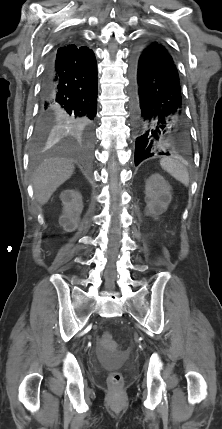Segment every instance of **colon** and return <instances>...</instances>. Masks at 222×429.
<instances>
[{
    "mask_svg": "<svg viewBox=\"0 0 222 429\" xmlns=\"http://www.w3.org/2000/svg\"><path fill=\"white\" fill-rule=\"evenodd\" d=\"M101 346L105 347L108 350H117L118 344L113 339L112 335L109 332H105L100 339ZM108 384L112 389H118L123 384V376L120 372H111L108 376Z\"/></svg>",
    "mask_w": 222,
    "mask_h": 429,
    "instance_id": "1",
    "label": "colon"
}]
</instances>
